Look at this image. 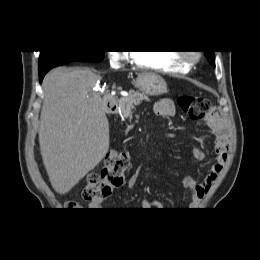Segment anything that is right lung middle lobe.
Wrapping results in <instances>:
<instances>
[{"mask_svg": "<svg viewBox=\"0 0 260 260\" xmlns=\"http://www.w3.org/2000/svg\"><path fill=\"white\" fill-rule=\"evenodd\" d=\"M104 51H41L38 63L39 73L74 61L99 62Z\"/></svg>", "mask_w": 260, "mask_h": 260, "instance_id": "obj_1", "label": "right lung middle lobe"}]
</instances>
